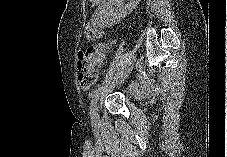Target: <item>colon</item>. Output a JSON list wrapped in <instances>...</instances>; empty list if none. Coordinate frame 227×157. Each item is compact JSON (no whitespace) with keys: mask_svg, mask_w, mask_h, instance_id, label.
Instances as JSON below:
<instances>
[{"mask_svg":"<svg viewBox=\"0 0 227 157\" xmlns=\"http://www.w3.org/2000/svg\"><path fill=\"white\" fill-rule=\"evenodd\" d=\"M102 35V32L92 24H87L85 27V39L88 43L97 41ZM109 46L105 43H100L92 46L79 53L78 60V81L82 87H90L97 74V69L102 63L108 52Z\"/></svg>","mask_w":227,"mask_h":157,"instance_id":"5ec220e1","label":"colon"}]
</instances>
